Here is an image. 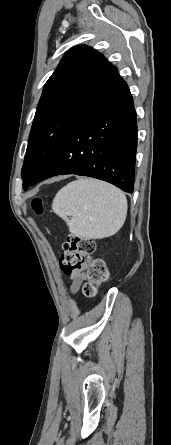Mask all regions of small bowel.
Here are the masks:
<instances>
[{
	"label": "small bowel",
	"instance_id": "c3829d8e",
	"mask_svg": "<svg viewBox=\"0 0 171 445\" xmlns=\"http://www.w3.org/2000/svg\"><path fill=\"white\" fill-rule=\"evenodd\" d=\"M67 275L72 281L70 286L71 293L76 294L79 291L82 282L85 280L86 275L83 272H74Z\"/></svg>",
	"mask_w": 171,
	"mask_h": 445
}]
</instances>
